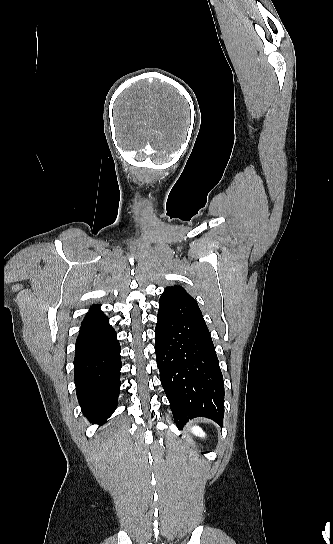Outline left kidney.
Returning <instances> with one entry per match:
<instances>
[{
	"label": "left kidney",
	"instance_id": "left-kidney-1",
	"mask_svg": "<svg viewBox=\"0 0 333 544\" xmlns=\"http://www.w3.org/2000/svg\"><path fill=\"white\" fill-rule=\"evenodd\" d=\"M192 432L195 434V435H198V436H202L204 437L205 436V433L203 432V430L198 427V426H193L192 427Z\"/></svg>",
	"mask_w": 333,
	"mask_h": 544
}]
</instances>
